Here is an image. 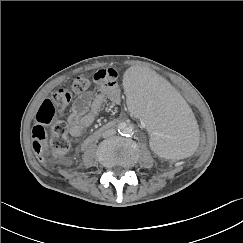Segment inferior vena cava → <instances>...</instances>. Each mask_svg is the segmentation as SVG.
I'll use <instances>...</instances> for the list:
<instances>
[{"instance_id": "1", "label": "inferior vena cava", "mask_w": 243, "mask_h": 243, "mask_svg": "<svg viewBox=\"0 0 243 243\" xmlns=\"http://www.w3.org/2000/svg\"><path fill=\"white\" fill-rule=\"evenodd\" d=\"M116 133V130L115 129H107V130H105L103 133H102V136L104 137V138H107V137H111V136H113L114 134Z\"/></svg>"}]
</instances>
